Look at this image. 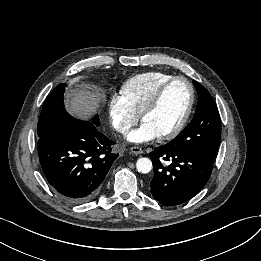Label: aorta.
Wrapping results in <instances>:
<instances>
[{"mask_svg":"<svg viewBox=\"0 0 261 261\" xmlns=\"http://www.w3.org/2000/svg\"><path fill=\"white\" fill-rule=\"evenodd\" d=\"M136 168L140 173H149L152 169V162L148 158H139L136 162Z\"/></svg>","mask_w":261,"mask_h":261,"instance_id":"obj_1","label":"aorta"}]
</instances>
